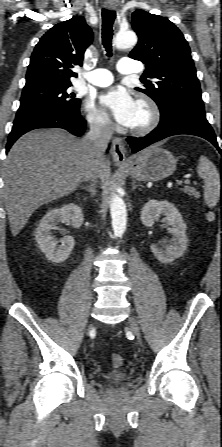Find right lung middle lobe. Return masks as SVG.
Here are the masks:
<instances>
[{"label":"right lung middle lobe","mask_w":222,"mask_h":447,"mask_svg":"<svg viewBox=\"0 0 222 447\" xmlns=\"http://www.w3.org/2000/svg\"><path fill=\"white\" fill-rule=\"evenodd\" d=\"M68 85L43 86L23 90L14 122H21L63 109H79L80 100L70 93Z\"/></svg>","instance_id":"right-lung-middle-lobe-1"}]
</instances>
